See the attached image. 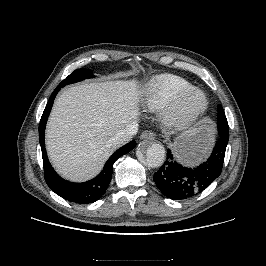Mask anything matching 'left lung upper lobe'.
<instances>
[{
    "mask_svg": "<svg viewBox=\"0 0 266 266\" xmlns=\"http://www.w3.org/2000/svg\"><path fill=\"white\" fill-rule=\"evenodd\" d=\"M222 123L225 125V126H228V122H227V119H226V116H225V113L221 107V105H218V124L217 126L220 127L222 126Z\"/></svg>",
    "mask_w": 266,
    "mask_h": 266,
    "instance_id": "1",
    "label": "left lung upper lobe"
}]
</instances>
